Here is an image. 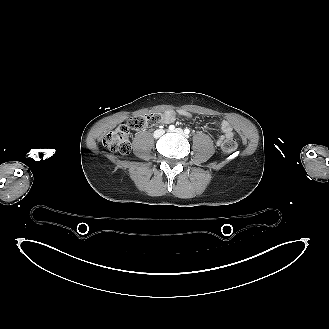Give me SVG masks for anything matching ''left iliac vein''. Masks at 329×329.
Masks as SVG:
<instances>
[{
	"mask_svg": "<svg viewBox=\"0 0 329 329\" xmlns=\"http://www.w3.org/2000/svg\"><path fill=\"white\" fill-rule=\"evenodd\" d=\"M174 132H176L178 134H184V132H183V130L181 128L175 129Z\"/></svg>",
	"mask_w": 329,
	"mask_h": 329,
	"instance_id": "left-iliac-vein-1",
	"label": "left iliac vein"
}]
</instances>
